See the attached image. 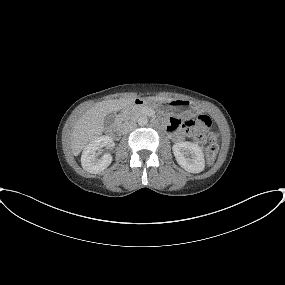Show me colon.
<instances>
[{"instance_id":"5ec220e1","label":"colon","mask_w":285,"mask_h":285,"mask_svg":"<svg viewBox=\"0 0 285 285\" xmlns=\"http://www.w3.org/2000/svg\"><path fill=\"white\" fill-rule=\"evenodd\" d=\"M184 126L188 132L198 141L203 143L208 164H212L218 152V141L214 135L205 133L210 126V119L207 115H200L196 118H188L184 121Z\"/></svg>"}]
</instances>
